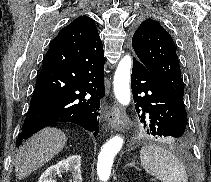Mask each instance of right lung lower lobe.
I'll use <instances>...</instances> for the list:
<instances>
[{
    "mask_svg": "<svg viewBox=\"0 0 211 182\" xmlns=\"http://www.w3.org/2000/svg\"><path fill=\"white\" fill-rule=\"evenodd\" d=\"M104 62L99 34L64 44L52 41L16 146L57 122L75 123L96 136L105 94Z\"/></svg>",
    "mask_w": 211,
    "mask_h": 182,
    "instance_id": "right-lung-lower-lobe-1",
    "label": "right lung lower lobe"
}]
</instances>
